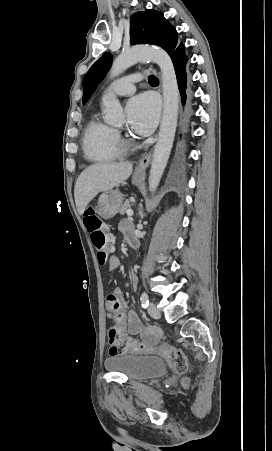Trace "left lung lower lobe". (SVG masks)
I'll return each instance as SVG.
<instances>
[{
    "mask_svg": "<svg viewBox=\"0 0 272 451\" xmlns=\"http://www.w3.org/2000/svg\"><path fill=\"white\" fill-rule=\"evenodd\" d=\"M184 50H185L184 45L181 42L178 44V46L176 47V49L170 56L172 59L174 68H175L178 86H179V90L181 93L183 104H185V101H186V94H185L186 82H187L186 64L188 61V57L186 56ZM189 117H190V111H188V118ZM189 133L190 132H189L188 123H186L185 135L188 136Z\"/></svg>",
    "mask_w": 272,
    "mask_h": 451,
    "instance_id": "0a47b994",
    "label": "left lung lower lobe"
}]
</instances>
